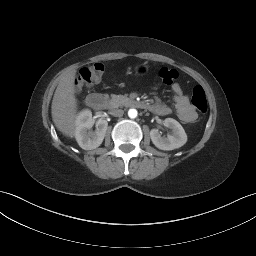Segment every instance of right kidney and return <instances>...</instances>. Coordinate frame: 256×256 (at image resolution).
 I'll return each instance as SVG.
<instances>
[{
    "instance_id": "obj_1",
    "label": "right kidney",
    "mask_w": 256,
    "mask_h": 256,
    "mask_svg": "<svg viewBox=\"0 0 256 256\" xmlns=\"http://www.w3.org/2000/svg\"><path fill=\"white\" fill-rule=\"evenodd\" d=\"M95 121L89 109L81 111L76 117L75 138L79 146L84 150L96 149L101 145L105 137L108 123L104 119L96 122V130L91 131Z\"/></svg>"
}]
</instances>
